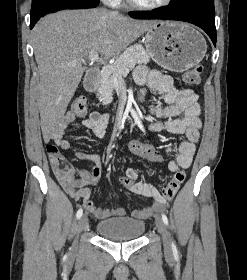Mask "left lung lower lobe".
Masks as SVG:
<instances>
[{"instance_id":"1","label":"left lung lower lobe","mask_w":247,"mask_h":280,"mask_svg":"<svg viewBox=\"0 0 247 280\" xmlns=\"http://www.w3.org/2000/svg\"><path fill=\"white\" fill-rule=\"evenodd\" d=\"M136 19L178 20L192 23L202 28L216 46L214 3H197L182 7L168 6L155 13H131Z\"/></svg>"}]
</instances>
